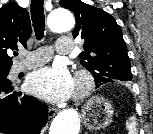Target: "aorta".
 Returning a JSON list of instances; mask_svg holds the SVG:
<instances>
[{
    "label": "aorta",
    "instance_id": "obj_1",
    "mask_svg": "<svg viewBox=\"0 0 153 134\" xmlns=\"http://www.w3.org/2000/svg\"><path fill=\"white\" fill-rule=\"evenodd\" d=\"M75 21L72 14L66 9H56L48 17V27L55 33L70 31ZM80 119L73 109L60 112L53 120L49 134H79Z\"/></svg>",
    "mask_w": 153,
    "mask_h": 134
}]
</instances>
